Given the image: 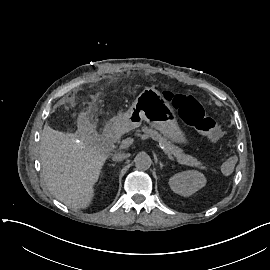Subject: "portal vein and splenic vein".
Returning a JSON list of instances; mask_svg holds the SVG:
<instances>
[{
  "mask_svg": "<svg viewBox=\"0 0 270 270\" xmlns=\"http://www.w3.org/2000/svg\"><path fill=\"white\" fill-rule=\"evenodd\" d=\"M135 141H136V138L134 136H128V137H126L124 142L119 143V148L125 149L126 147H130L131 144H133ZM161 148L165 151L164 147H161ZM167 158L169 160L171 159L173 162L176 160V158L174 156L172 157L170 154L167 156Z\"/></svg>",
  "mask_w": 270,
  "mask_h": 270,
  "instance_id": "1",
  "label": "portal vein and splenic vein"
}]
</instances>
